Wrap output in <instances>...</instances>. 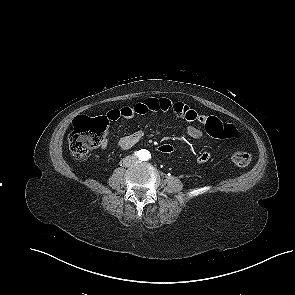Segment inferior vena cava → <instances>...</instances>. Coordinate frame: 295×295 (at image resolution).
<instances>
[{
    "label": "inferior vena cava",
    "instance_id": "obj_1",
    "mask_svg": "<svg viewBox=\"0 0 295 295\" xmlns=\"http://www.w3.org/2000/svg\"><path fill=\"white\" fill-rule=\"evenodd\" d=\"M137 161V158L134 156H127L123 159V165L125 167H130Z\"/></svg>",
    "mask_w": 295,
    "mask_h": 295
}]
</instances>
